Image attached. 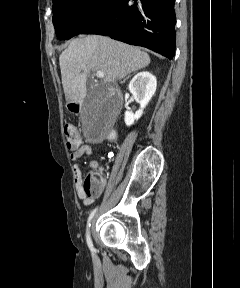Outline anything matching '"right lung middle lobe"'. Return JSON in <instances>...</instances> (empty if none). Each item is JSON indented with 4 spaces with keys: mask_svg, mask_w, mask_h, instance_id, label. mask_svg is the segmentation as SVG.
Instances as JSON below:
<instances>
[{
    "mask_svg": "<svg viewBox=\"0 0 240 288\" xmlns=\"http://www.w3.org/2000/svg\"><path fill=\"white\" fill-rule=\"evenodd\" d=\"M111 0H53V24L58 39L80 34L107 8Z\"/></svg>",
    "mask_w": 240,
    "mask_h": 288,
    "instance_id": "dd1d6c3e",
    "label": "right lung middle lobe"
}]
</instances>
